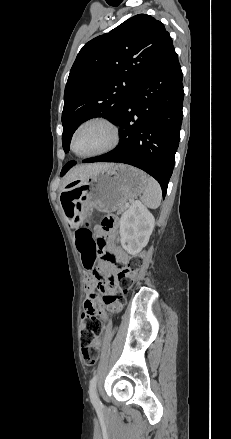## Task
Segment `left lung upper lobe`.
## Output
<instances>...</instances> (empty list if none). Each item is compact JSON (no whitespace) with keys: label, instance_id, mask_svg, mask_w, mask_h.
<instances>
[{"label":"left lung upper lobe","instance_id":"obj_1","mask_svg":"<svg viewBox=\"0 0 231 439\" xmlns=\"http://www.w3.org/2000/svg\"><path fill=\"white\" fill-rule=\"evenodd\" d=\"M172 47L164 25L146 14L135 15L87 42L70 70L64 92L65 153L73 133L84 121L104 117L116 122L133 88Z\"/></svg>","mask_w":231,"mask_h":439}]
</instances>
